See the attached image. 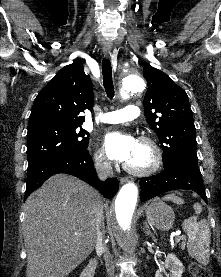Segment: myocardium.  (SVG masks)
<instances>
[{
    "mask_svg": "<svg viewBox=\"0 0 221 277\" xmlns=\"http://www.w3.org/2000/svg\"><path fill=\"white\" fill-rule=\"evenodd\" d=\"M139 143L145 145L151 152V162L148 166L137 168L125 163L124 169L135 176H148L155 173L162 163V153L159 146L151 138L142 136L139 138Z\"/></svg>",
    "mask_w": 221,
    "mask_h": 277,
    "instance_id": "myocardium-1",
    "label": "myocardium"
}]
</instances>
